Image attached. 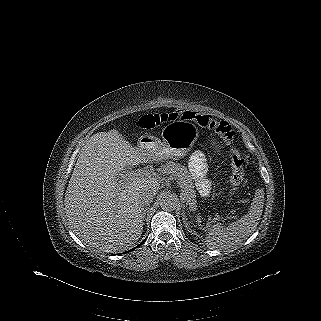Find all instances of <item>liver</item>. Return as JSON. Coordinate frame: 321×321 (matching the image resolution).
<instances>
[{
    "label": "liver",
    "instance_id": "obj_1",
    "mask_svg": "<svg viewBox=\"0 0 321 321\" xmlns=\"http://www.w3.org/2000/svg\"><path fill=\"white\" fill-rule=\"evenodd\" d=\"M142 156L160 159L139 151L116 129L92 135L83 146L64 202L71 228L86 244L113 253L140 239L144 224L140 192L145 186L157 192L160 186L154 176L124 173L126 167L139 165Z\"/></svg>",
    "mask_w": 321,
    "mask_h": 321
}]
</instances>
